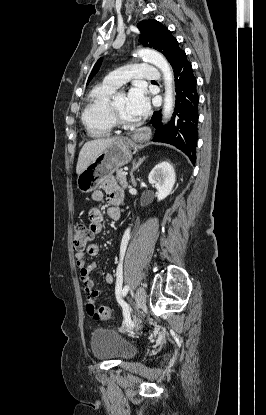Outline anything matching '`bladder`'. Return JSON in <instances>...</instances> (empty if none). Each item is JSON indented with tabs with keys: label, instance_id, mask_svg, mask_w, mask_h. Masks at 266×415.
<instances>
[{
	"label": "bladder",
	"instance_id": "bladder-1",
	"mask_svg": "<svg viewBox=\"0 0 266 415\" xmlns=\"http://www.w3.org/2000/svg\"><path fill=\"white\" fill-rule=\"evenodd\" d=\"M90 349L98 360H130L136 353V347L123 338L117 331L96 328L91 335Z\"/></svg>",
	"mask_w": 266,
	"mask_h": 415
}]
</instances>
